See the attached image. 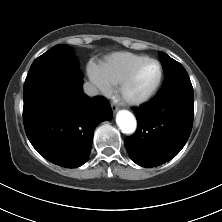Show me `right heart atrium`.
<instances>
[{
  "label": "right heart atrium",
  "instance_id": "1",
  "mask_svg": "<svg viewBox=\"0 0 222 222\" xmlns=\"http://www.w3.org/2000/svg\"><path fill=\"white\" fill-rule=\"evenodd\" d=\"M88 75L94 83L97 93L101 96H109L112 92V87L100 76L98 66L90 64L88 66Z\"/></svg>",
  "mask_w": 222,
  "mask_h": 222
}]
</instances>
